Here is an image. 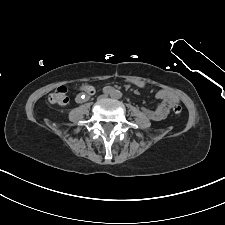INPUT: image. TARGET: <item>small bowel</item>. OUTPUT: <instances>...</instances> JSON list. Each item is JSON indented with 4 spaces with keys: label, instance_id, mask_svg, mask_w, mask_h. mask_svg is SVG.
Instances as JSON below:
<instances>
[{
    "label": "small bowel",
    "instance_id": "obj_1",
    "mask_svg": "<svg viewBox=\"0 0 225 225\" xmlns=\"http://www.w3.org/2000/svg\"><path fill=\"white\" fill-rule=\"evenodd\" d=\"M131 83L140 88L146 86V83L142 80H133ZM94 92L95 88L93 86H91L90 90H85L83 87L82 91L76 94L75 100L76 102L81 103L88 95H92ZM156 99L159 101L156 110L143 109L144 113L152 120L165 119L169 115L171 109L178 103L177 96L166 89H159L156 92Z\"/></svg>",
    "mask_w": 225,
    "mask_h": 225
}]
</instances>
